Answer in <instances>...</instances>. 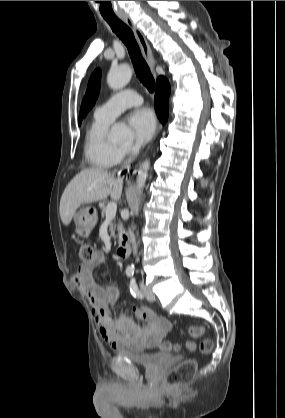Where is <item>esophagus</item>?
Wrapping results in <instances>:
<instances>
[{
  "label": "esophagus",
  "instance_id": "34e87169",
  "mask_svg": "<svg viewBox=\"0 0 285 418\" xmlns=\"http://www.w3.org/2000/svg\"><path fill=\"white\" fill-rule=\"evenodd\" d=\"M119 18L130 28L132 29V31L134 32L141 50H142V54L143 57L146 61V63L148 64L149 68L151 69V72L155 75V62H154V58L152 55V51L150 48V45L145 37V35L143 34V32L141 31V29L136 25V23L133 22V20L126 14H122L119 15ZM162 128L161 125L158 126L157 131H160Z\"/></svg>",
  "mask_w": 285,
  "mask_h": 418
}]
</instances>
